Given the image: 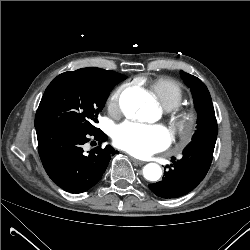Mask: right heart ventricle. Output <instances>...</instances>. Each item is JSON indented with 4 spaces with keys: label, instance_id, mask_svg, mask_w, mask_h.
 <instances>
[{
    "label": "right heart ventricle",
    "instance_id": "right-heart-ventricle-1",
    "mask_svg": "<svg viewBox=\"0 0 250 250\" xmlns=\"http://www.w3.org/2000/svg\"><path fill=\"white\" fill-rule=\"evenodd\" d=\"M149 88L157 102L167 111L180 105L185 96L180 83L168 77L151 80Z\"/></svg>",
    "mask_w": 250,
    "mask_h": 250
}]
</instances>
